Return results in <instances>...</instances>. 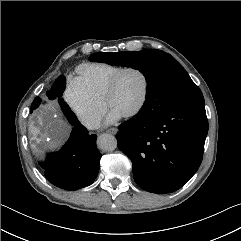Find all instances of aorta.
Returning a JSON list of instances; mask_svg holds the SVG:
<instances>
[{
	"label": "aorta",
	"instance_id": "aorta-1",
	"mask_svg": "<svg viewBox=\"0 0 241 241\" xmlns=\"http://www.w3.org/2000/svg\"><path fill=\"white\" fill-rule=\"evenodd\" d=\"M98 147L103 151H113L117 148V140L111 134H102L97 140Z\"/></svg>",
	"mask_w": 241,
	"mask_h": 241
}]
</instances>
